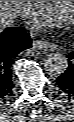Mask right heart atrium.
Instances as JSON below:
<instances>
[{
  "label": "right heart atrium",
  "instance_id": "obj_1",
  "mask_svg": "<svg viewBox=\"0 0 74 122\" xmlns=\"http://www.w3.org/2000/svg\"><path fill=\"white\" fill-rule=\"evenodd\" d=\"M27 5H29L30 7H35L37 5L38 2L40 1H24Z\"/></svg>",
  "mask_w": 74,
  "mask_h": 122
}]
</instances>
